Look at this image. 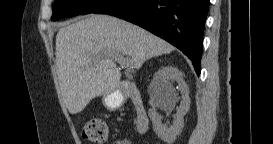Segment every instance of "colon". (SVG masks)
Returning a JSON list of instances; mask_svg holds the SVG:
<instances>
[{
    "label": "colon",
    "mask_w": 273,
    "mask_h": 144,
    "mask_svg": "<svg viewBox=\"0 0 273 144\" xmlns=\"http://www.w3.org/2000/svg\"><path fill=\"white\" fill-rule=\"evenodd\" d=\"M82 135L92 143H105L108 135L107 125L100 118L89 119L82 127Z\"/></svg>",
    "instance_id": "1"
}]
</instances>
